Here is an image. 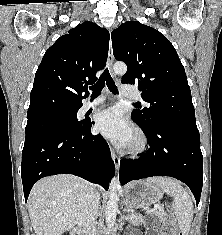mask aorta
Masks as SVG:
<instances>
[{"mask_svg":"<svg viewBox=\"0 0 222 235\" xmlns=\"http://www.w3.org/2000/svg\"><path fill=\"white\" fill-rule=\"evenodd\" d=\"M113 71L115 74L124 75L127 71V66L123 62H117L113 66ZM121 185L118 178L114 177L110 183L108 201L105 211V220L107 227L111 228L114 226L116 221V215L118 212V194L117 191L120 189Z\"/></svg>","mask_w":222,"mask_h":235,"instance_id":"aorta-1","label":"aorta"}]
</instances>
